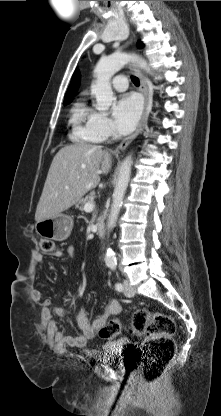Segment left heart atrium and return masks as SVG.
<instances>
[{"label":"left heart atrium","mask_w":221,"mask_h":416,"mask_svg":"<svg viewBox=\"0 0 221 416\" xmlns=\"http://www.w3.org/2000/svg\"><path fill=\"white\" fill-rule=\"evenodd\" d=\"M142 112V103L136 94L122 95L113 107L115 125L120 133H129L137 125Z\"/></svg>","instance_id":"1"}]
</instances>
